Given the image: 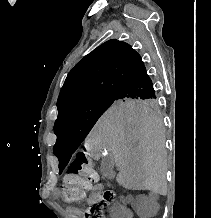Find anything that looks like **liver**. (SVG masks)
<instances>
[{
  "label": "liver",
  "mask_w": 211,
  "mask_h": 218,
  "mask_svg": "<svg viewBox=\"0 0 211 218\" xmlns=\"http://www.w3.org/2000/svg\"><path fill=\"white\" fill-rule=\"evenodd\" d=\"M85 146L91 156L96 150H107L123 188L166 196L165 136L162 122L152 110L114 104L99 118Z\"/></svg>",
  "instance_id": "6515ba94"
}]
</instances>
